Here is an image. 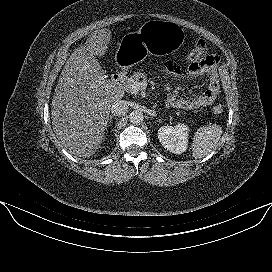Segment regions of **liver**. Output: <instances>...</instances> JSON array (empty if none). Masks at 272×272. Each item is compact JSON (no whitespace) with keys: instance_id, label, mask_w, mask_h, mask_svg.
<instances>
[{"instance_id":"obj_1","label":"liver","mask_w":272,"mask_h":272,"mask_svg":"<svg viewBox=\"0 0 272 272\" xmlns=\"http://www.w3.org/2000/svg\"><path fill=\"white\" fill-rule=\"evenodd\" d=\"M109 29L92 32L86 45L73 51L60 74L52 99L54 133L69 153L89 158L104 139L112 103L124 90L106 79L96 56L108 49Z\"/></svg>"}]
</instances>
